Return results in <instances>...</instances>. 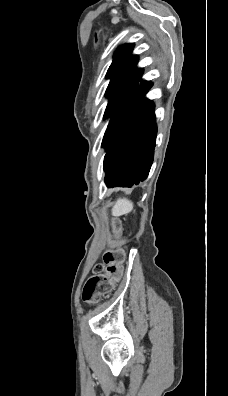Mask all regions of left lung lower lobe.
Returning <instances> with one entry per match:
<instances>
[{
	"label": "left lung lower lobe",
	"instance_id": "0a47b994",
	"mask_svg": "<svg viewBox=\"0 0 228 396\" xmlns=\"http://www.w3.org/2000/svg\"><path fill=\"white\" fill-rule=\"evenodd\" d=\"M152 83L141 80L110 109L102 146L107 187H132L149 173L156 142L154 104L144 98Z\"/></svg>",
	"mask_w": 228,
	"mask_h": 396
}]
</instances>
